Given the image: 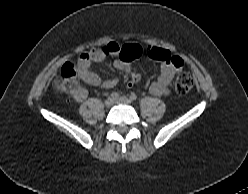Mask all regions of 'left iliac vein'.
I'll list each match as a JSON object with an SVG mask.
<instances>
[{
  "label": "left iliac vein",
  "mask_w": 248,
  "mask_h": 194,
  "mask_svg": "<svg viewBox=\"0 0 248 194\" xmlns=\"http://www.w3.org/2000/svg\"><path fill=\"white\" fill-rule=\"evenodd\" d=\"M131 99L128 97H119L115 100V103L117 104H125V105H130L131 104Z\"/></svg>",
  "instance_id": "4c4485c4"
}]
</instances>
